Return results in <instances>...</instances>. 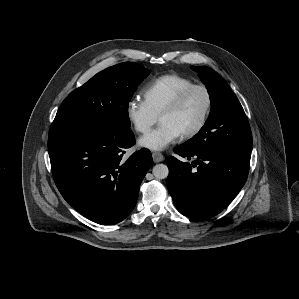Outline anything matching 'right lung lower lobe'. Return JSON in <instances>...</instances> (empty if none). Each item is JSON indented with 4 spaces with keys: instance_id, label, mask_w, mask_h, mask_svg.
<instances>
[{
    "instance_id": "obj_1",
    "label": "right lung lower lobe",
    "mask_w": 299,
    "mask_h": 299,
    "mask_svg": "<svg viewBox=\"0 0 299 299\" xmlns=\"http://www.w3.org/2000/svg\"><path fill=\"white\" fill-rule=\"evenodd\" d=\"M135 144L131 129L49 131L48 152L55 184L86 218L112 225L135 207L140 184L153 160L148 149L122 159Z\"/></svg>"
}]
</instances>
